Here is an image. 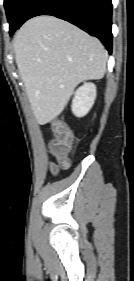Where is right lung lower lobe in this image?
<instances>
[{
	"instance_id": "1",
	"label": "right lung lower lobe",
	"mask_w": 134,
	"mask_h": 281,
	"mask_svg": "<svg viewBox=\"0 0 134 281\" xmlns=\"http://www.w3.org/2000/svg\"><path fill=\"white\" fill-rule=\"evenodd\" d=\"M39 15H52L66 20L99 38L107 50L112 51L111 0H30L24 9L20 26Z\"/></svg>"
}]
</instances>
